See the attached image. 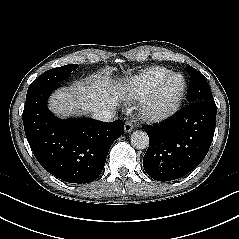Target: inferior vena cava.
<instances>
[{
	"mask_svg": "<svg viewBox=\"0 0 239 239\" xmlns=\"http://www.w3.org/2000/svg\"><path fill=\"white\" fill-rule=\"evenodd\" d=\"M93 117L103 122H110L116 118V111L114 109H99L93 114Z\"/></svg>",
	"mask_w": 239,
	"mask_h": 239,
	"instance_id": "inferior-vena-cava-1",
	"label": "inferior vena cava"
}]
</instances>
